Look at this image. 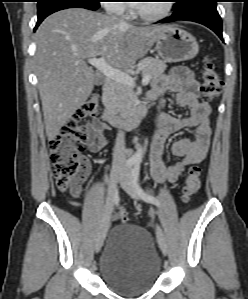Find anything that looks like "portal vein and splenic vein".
<instances>
[{
	"label": "portal vein and splenic vein",
	"instance_id": "1",
	"mask_svg": "<svg viewBox=\"0 0 248 299\" xmlns=\"http://www.w3.org/2000/svg\"><path fill=\"white\" fill-rule=\"evenodd\" d=\"M88 63L94 66L97 70H99L105 77L116 81L121 84H126L129 86H135V78H132L129 74L113 68L110 66L104 58H91L88 59ZM150 82L149 76H143L142 84L146 85Z\"/></svg>",
	"mask_w": 248,
	"mask_h": 299
}]
</instances>
